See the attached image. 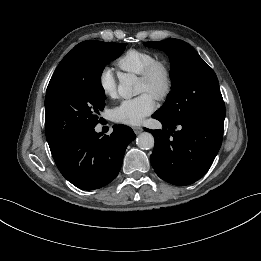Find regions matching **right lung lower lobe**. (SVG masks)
<instances>
[{
	"label": "right lung lower lobe",
	"instance_id": "obj_1",
	"mask_svg": "<svg viewBox=\"0 0 261 261\" xmlns=\"http://www.w3.org/2000/svg\"><path fill=\"white\" fill-rule=\"evenodd\" d=\"M110 136L96 133L94 127L79 132L51 150L61 174L83 190L101 188L118 175L133 130L115 125Z\"/></svg>",
	"mask_w": 261,
	"mask_h": 261
}]
</instances>
